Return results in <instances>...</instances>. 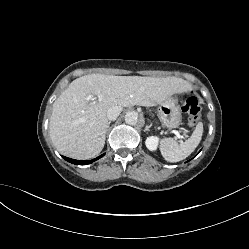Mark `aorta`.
Returning a JSON list of instances; mask_svg holds the SVG:
<instances>
[{
	"instance_id": "aorta-1",
	"label": "aorta",
	"mask_w": 249,
	"mask_h": 249,
	"mask_svg": "<svg viewBox=\"0 0 249 249\" xmlns=\"http://www.w3.org/2000/svg\"><path fill=\"white\" fill-rule=\"evenodd\" d=\"M125 122L129 125H135L138 122V113L135 111L127 112L125 115Z\"/></svg>"
}]
</instances>
